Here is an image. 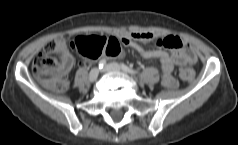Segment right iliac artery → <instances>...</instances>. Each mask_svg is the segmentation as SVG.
Listing matches in <instances>:
<instances>
[{
  "label": "right iliac artery",
  "mask_w": 238,
  "mask_h": 145,
  "mask_svg": "<svg viewBox=\"0 0 238 145\" xmlns=\"http://www.w3.org/2000/svg\"><path fill=\"white\" fill-rule=\"evenodd\" d=\"M105 65H106V60L105 59H101L98 63L99 69H102Z\"/></svg>",
  "instance_id": "right-iliac-artery-1"
}]
</instances>
